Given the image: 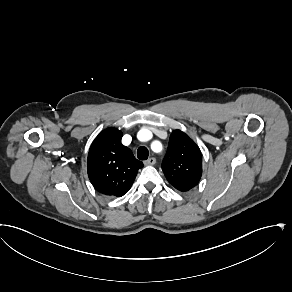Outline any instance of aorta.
Returning <instances> with one entry per match:
<instances>
[{
    "label": "aorta",
    "mask_w": 292,
    "mask_h": 292,
    "mask_svg": "<svg viewBox=\"0 0 292 292\" xmlns=\"http://www.w3.org/2000/svg\"><path fill=\"white\" fill-rule=\"evenodd\" d=\"M160 145H161V143H159V142H153L151 148L153 151H155L157 149V147H159Z\"/></svg>",
    "instance_id": "762f6f07"
}]
</instances>
